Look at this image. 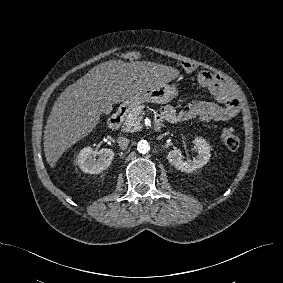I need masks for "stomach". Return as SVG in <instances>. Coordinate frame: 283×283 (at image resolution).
Returning <instances> with one entry per match:
<instances>
[{"label":"stomach","mask_w":283,"mask_h":283,"mask_svg":"<svg viewBox=\"0 0 283 283\" xmlns=\"http://www.w3.org/2000/svg\"><path fill=\"white\" fill-rule=\"evenodd\" d=\"M178 95V91L175 87L168 85L165 82L147 88L143 91L137 92L126 99L121 107L128 111H131L134 107L141 103H156L164 104Z\"/></svg>","instance_id":"1"}]
</instances>
